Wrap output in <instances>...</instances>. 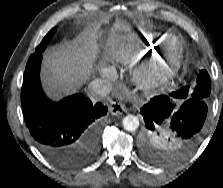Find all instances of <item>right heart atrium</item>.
I'll use <instances>...</instances> for the list:
<instances>
[{
	"instance_id": "d8ad5b80",
	"label": "right heart atrium",
	"mask_w": 223,
	"mask_h": 188,
	"mask_svg": "<svg viewBox=\"0 0 223 188\" xmlns=\"http://www.w3.org/2000/svg\"><path fill=\"white\" fill-rule=\"evenodd\" d=\"M102 74L106 77V78H112L114 76V71L111 68H104L102 70Z\"/></svg>"
}]
</instances>
